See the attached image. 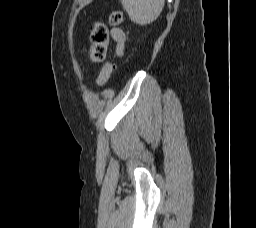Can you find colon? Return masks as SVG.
<instances>
[{"label": "colon", "mask_w": 256, "mask_h": 228, "mask_svg": "<svg viewBox=\"0 0 256 228\" xmlns=\"http://www.w3.org/2000/svg\"><path fill=\"white\" fill-rule=\"evenodd\" d=\"M124 12L120 9L111 12L109 22L113 26H118L123 22ZM92 47L89 53L90 61L94 63L103 62L106 59L107 47L109 42V32L107 26L102 22H95L91 32ZM115 70V64L106 62L99 74L97 82L104 86Z\"/></svg>", "instance_id": "1"}]
</instances>
